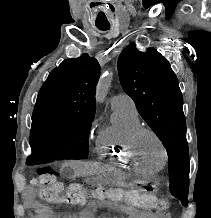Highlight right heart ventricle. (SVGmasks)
Masks as SVG:
<instances>
[{"label":"right heart ventricle","instance_id":"obj_1","mask_svg":"<svg viewBox=\"0 0 211 218\" xmlns=\"http://www.w3.org/2000/svg\"><path fill=\"white\" fill-rule=\"evenodd\" d=\"M139 126L142 123L137 110L114 108L111 124L98 134L95 154L104 157V162H109V165H119V169H138L132 157L131 136Z\"/></svg>","mask_w":211,"mask_h":218}]
</instances>
